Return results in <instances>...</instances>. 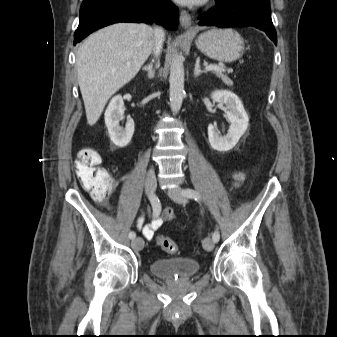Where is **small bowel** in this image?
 I'll use <instances>...</instances> for the list:
<instances>
[{"mask_svg": "<svg viewBox=\"0 0 337 337\" xmlns=\"http://www.w3.org/2000/svg\"><path fill=\"white\" fill-rule=\"evenodd\" d=\"M234 184H238L245 178V174L240 171H233L229 174ZM115 186V184H114ZM174 219V213L171 209H165L163 212H159L158 215H154L153 220L147 224L143 225V216H139L137 219V229L142 232L145 239L151 240L156 231L166 222Z\"/></svg>", "mask_w": 337, "mask_h": 337, "instance_id": "small-bowel-1", "label": "small bowel"}]
</instances>
